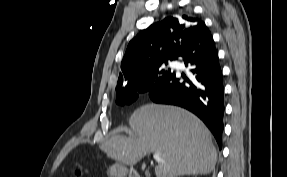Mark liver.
Segmentation results:
<instances>
[{"label":"liver","mask_w":287,"mask_h":177,"mask_svg":"<svg viewBox=\"0 0 287 177\" xmlns=\"http://www.w3.org/2000/svg\"><path fill=\"white\" fill-rule=\"evenodd\" d=\"M134 136L114 135L101 149L121 164L133 166L151 152L164 162L156 177L208 174L215 168L217 152L212 135L192 113L179 107L146 104L129 119Z\"/></svg>","instance_id":"obj_1"}]
</instances>
